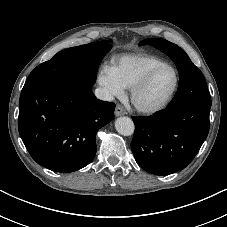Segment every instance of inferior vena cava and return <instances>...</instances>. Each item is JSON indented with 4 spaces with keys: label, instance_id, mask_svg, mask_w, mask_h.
Instances as JSON below:
<instances>
[{
    "label": "inferior vena cava",
    "instance_id": "inferior-vena-cava-1",
    "mask_svg": "<svg viewBox=\"0 0 227 227\" xmlns=\"http://www.w3.org/2000/svg\"><path fill=\"white\" fill-rule=\"evenodd\" d=\"M94 94H95L96 98H98L100 100H104V101H112L113 100V96L103 88L95 89Z\"/></svg>",
    "mask_w": 227,
    "mask_h": 227
}]
</instances>
